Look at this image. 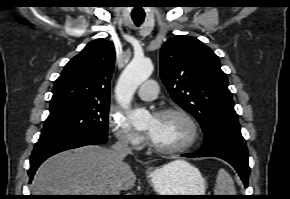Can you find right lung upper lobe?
<instances>
[{
  "label": "right lung upper lobe",
  "mask_w": 290,
  "mask_h": 199,
  "mask_svg": "<svg viewBox=\"0 0 290 199\" xmlns=\"http://www.w3.org/2000/svg\"><path fill=\"white\" fill-rule=\"evenodd\" d=\"M114 61L112 42L102 38L89 42L55 81L50 110L80 103H109Z\"/></svg>",
  "instance_id": "cb5924a9"
}]
</instances>
